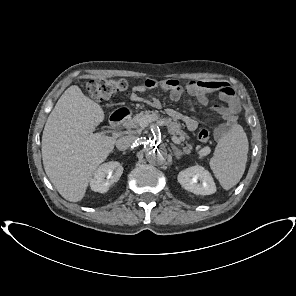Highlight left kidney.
I'll return each instance as SVG.
<instances>
[{
	"mask_svg": "<svg viewBox=\"0 0 296 296\" xmlns=\"http://www.w3.org/2000/svg\"><path fill=\"white\" fill-rule=\"evenodd\" d=\"M178 182L194 194L211 195L216 192V185L211 174L199 165L181 171L178 174Z\"/></svg>",
	"mask_w": 296,
	"mask_h": 296,
	"instance_id": "obj_1",
	"label": "left kidney"
}]
</instances>
